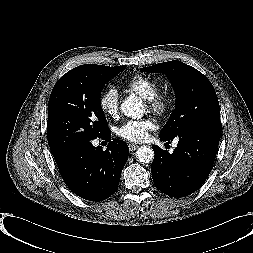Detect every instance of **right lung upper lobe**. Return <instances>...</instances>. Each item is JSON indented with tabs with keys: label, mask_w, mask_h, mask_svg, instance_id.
<instances>
[{
	"label": "right lung upper lobe",
	"mask_w": 253,
	"mask_h": 253,
	"mask_svg": "<svg viewBox=\"0 0 253 253\" xmlns=\"http://www.w3.org/2000/svg\"><path fill=\"white\" fill-rule=\"evenodd\" d=\"M85 65H87V64H85ZM63 156H54V159H55L56 162H58L59 160L62 159Z\"/></svg>",
	"instance_id": "right-lung-upper-lobe-1"
}]
</instances>
